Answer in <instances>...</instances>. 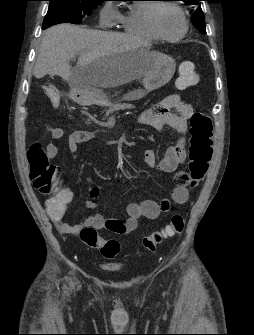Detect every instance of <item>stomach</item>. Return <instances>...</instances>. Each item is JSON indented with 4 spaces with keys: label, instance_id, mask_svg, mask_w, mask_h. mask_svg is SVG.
<instances>
[{
    "label": "stomach",
    "instance_id": "obj_1",
    "mask_svg": "<svg viewBox=\"0 0 254 335\" xmlns=\"http://www.w3.org/2000/svg\"><path fill=\"white\" fill-rule=\"evenodd\" d=\"M148 51L153 55L154 62L152 67L143 77L142 84L144 89H136L124 96L125 100H138L144 97L148 92L156 90L165 84H167L173 77L176 69L175 60L163 53L151 52L147 48H138L136 50L129 51L127 55L139 52ZM98 62L91 63L88 67H93ZM71 98L81 105H100L109 106L111 105V99L100 91L93 89H80L75 88L71 92Z\"/></svg>",
    "mask_w": 254,
    "mask_h": 335
}]
</instances>
